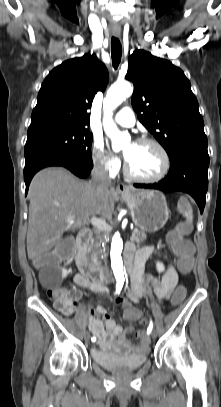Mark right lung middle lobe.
Here are the masks:
<instances>
[{
  "label": "right lung middle lobe",
  "mask_w": 221,
  "mask_h": 407,
  "mask_svg": "<svg viewBox=\"0 0 221 407\" xmlns=\"http://www.w3.org/2000/svg\"><path fill=\"white\" fill-rule=\"evenodd\" d=\"M92 139V133L84 127L49 125L29 128L25 158L39 151H57L85 166H93Z\"/></svg>",
  "instance_id": "right-lung-middle-lobe-1"
}]
</instances>
